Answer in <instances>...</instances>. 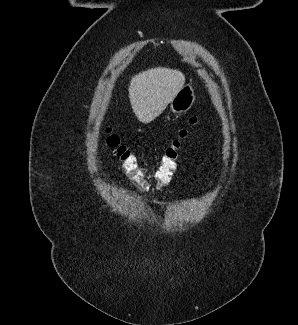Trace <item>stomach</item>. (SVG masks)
I'll return each mask as SVG.
<instances>
[{"label":"stomach","mask_w":298,"mask_h":325,"mask_svg":"<svg viewBox=\"0 0 298 325\" xmlns=\"http://www.w3.org/2000/svg\"><path fill=\"white\" fill-rule=\"evenodd\" d=\"M196 100V94L193 84L187 82L182 86L181 90L175 94L174 98L170 100V108L172 112H186L193 106Z\"/></svg>","instance_id":"obj_1"}]
</instances>
